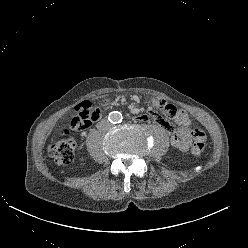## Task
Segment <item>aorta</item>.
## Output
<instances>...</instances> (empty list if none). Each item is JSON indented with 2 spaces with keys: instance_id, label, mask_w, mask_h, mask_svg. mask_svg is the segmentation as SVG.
I'll return each instance as SVG.
<instances>
[{
  "instance_id": "1",
  "label": "aorta",
  "mask_w": 248,
  "mask_h": 248,
  "mask_svg": "<svg viewBox=\"0 0 248 248\" xmlns=\"http://www.w3.org/2000/svg\"><path fill=\"white\" fill-rule=\"evenodd\" d=\"M110 121L113 123H119L122 121V114L118 111L111 112L109 115Z\"/></svg>"
}]
</instances>
